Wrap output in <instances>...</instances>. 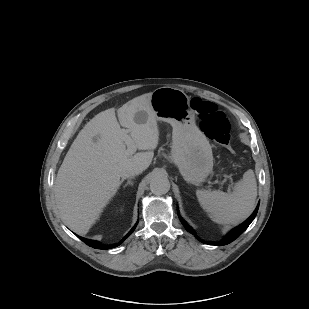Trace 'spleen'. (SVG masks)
Masks as SVG:
<instances>
[{
  "label": "spleen",
  "instance_id": "spleen-1",
  "mask_svg": "<svg viewBox=\"0 0 309 309\" xmlns=\"http://www.w3.org/2000/svg\"><path fill=\"white\" fill-rule=\"evenodd\" d=\"M201 207L216 222L236 224L250 215L255 206L257 184L252 170L236 183L232 193L217 190H197Z\"/></svg>",
  "mask_w": 309,
  "mask_h": 309
}]
</instances>
